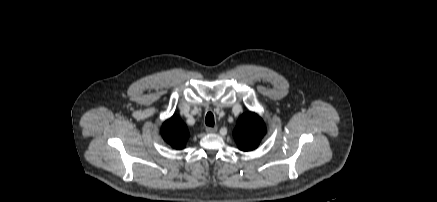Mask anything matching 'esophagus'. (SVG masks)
Instances as JSON below:
<instances>
[{"label":"esophagus","instance_id":"1","mask_svg":"<svg viewBox=\"0 0 437 202\" xmlns=\"http://www.w3.org/2000/svg\"><path fill=\"white\" fill-rule=\"evenodd\" d=\"M206 132L208 133H215L217 132V127H206Z\"/></svg>","mask_w":437,"mask_h":202}]
</instances>
